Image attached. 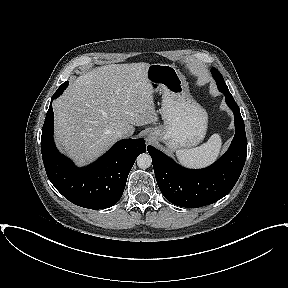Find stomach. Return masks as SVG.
<instances>
[{
	"label": "stomach",
	"mask_w": 288,
	"mask_h": 288,
	"mask_svg": "<svg viewBox=\"0 0 288 288\" xmlns=\"http://www.w3.org/2000/svg\"><path fill=\"white\" fill-rule=\"evenodd\" d=\"M153 92L162 94L163 124L149 136L164 142L168 149H188L198 145L208 128V114L190 95L188 83L173 65L151 64L146 71Z\"/></svg>",
	"instance_id": "stomach-1"
}]
</instances>
